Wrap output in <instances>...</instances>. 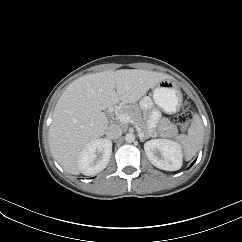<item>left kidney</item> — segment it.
I'll return each mask as SVG.
<instances>
[{
    "instance_id": "obj_1",
    "label": "left kidney",
    "mask_w": 242,
    "mask_h": 242,
    "mask_svg": "<svg viewBox=\"0 0 242 242\" xmlns=\"http://www.w3.org/2000/svg\"><path fill=\"white\" fill-rule=\"evenodd\" d=\"M149 161L157 168L176 171L182 166V151L178 143L167 139H153L144 144Z\"/></svg>"
}]
</instances>
